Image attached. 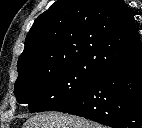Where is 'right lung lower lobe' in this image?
<instances>
[{
    "instance_id": "1",
    "label": "right lung lower lobe",
    "mask_w": 142,
    "mask_h": 128,
    "mask_svg": "<svg viewBox=\"0 0 142 128\" xmlns=\"http://www.w3.org/2000/svg\"><path fill=\"white\" fill-rule=\"evenodd\" d=\"M55 111L112 128H142V56L100 74L85 91Z\"/></svg>"
}]
</instances>
